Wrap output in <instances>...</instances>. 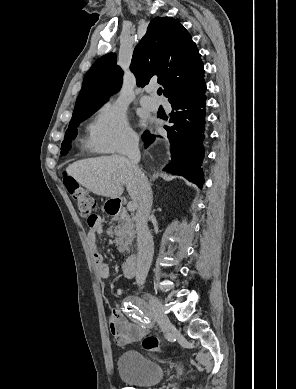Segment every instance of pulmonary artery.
<instances>
[{
    "instance_id": "obj_1",
    "label": "pulmonary artery",
    "mask_w": 296,
    "mask_h": 389,
    "mask_svg": "<svg viewBox=\"0 0 296 389\" xmlns=\"http://www.w3.org/2000/svg\"><path fill=\"white\" fill-rule=\"evenodd\" d=\"M151 90H148L150 92ZM140 103L145 108L155 111L158 108V102L153 95H144L140 99Z\"/></svg>"
}]
</instances>
